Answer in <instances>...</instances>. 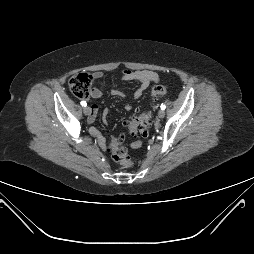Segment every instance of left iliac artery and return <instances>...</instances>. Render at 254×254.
<instances>
[{
    "label": "left iliac artery",
    "instance_id": "obj_1",
    "mask_svg": "<svg viewBox=\"0 0 254 254\" xmlns=\"http://www.w3.org/2000/svg\"><path fill=\"white\" fill-rule=\"evenodd\" d=\"M165 108H166L165 104L162 103V104H161V109L164 110Z\"/></svg>",
    "mask_w": 254,
    "mask_h": 254
}]
</instances>
